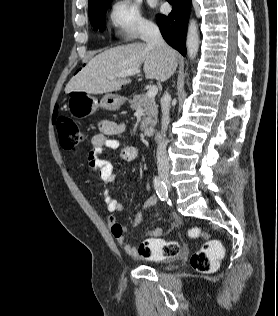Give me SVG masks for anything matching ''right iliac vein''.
<instances>
[{"label":"right iliac vein","mask_w":278,"mask_h":316,"mask_svg":"<svg viewBox=\"0 0 278 316\" xmlns=\"http://www.w3.org/2000/svg\"><path fill=\"white\" fill-rule=\"evenodd\" d=\"M160 178L168 187L170 186V179H169V175L168 174L161 173L160 174Z\"/></svg>","instance_id":"obj_1"}]
</instances>
